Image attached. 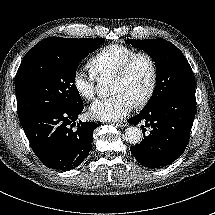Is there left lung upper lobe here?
<instances>
[{"instance_id": "5c2ea615", "label": "left lung upper lobe", "mask_w": 215, "mask_h": 215, "mask_svg": "<svg viewBox=\"0 0 215 215\" xmlns=\"http://www.w3.org/2000/svg\"><path fill=\"white\" fill-rule=\"evenodd\" d=\"M126 43L144 50L156 65V87L143 110L169 95L195 88L193 71L182 52L170 42L158 38L148 40L128 39Z\"/></svg>"}]
</instances>
